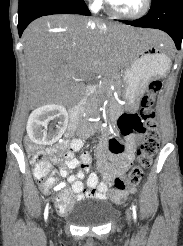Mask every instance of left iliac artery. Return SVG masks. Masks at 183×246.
<instances>
[{"label": "left iliac artery", "mask_w": 183, "mask_h": 246, "mask_svg": "<svg viewBox=\"0 0 183 246\" xmlns=\"http://www.w3.org/2000/svg\"><path fill=\"white\" fill-rule=\"evenodd\" d=\"M132 211H133V218L136 221V219H137V213H136V207L134 206V204H132Z\"/></svg>", "instance_id": "obj_1"}]
</instances>
